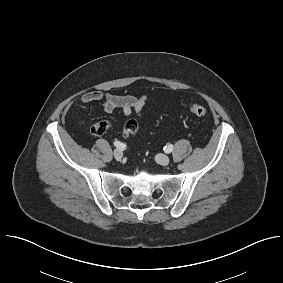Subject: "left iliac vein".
Listing matches in <instances>:
<instances>
[{
	"instance_id": "obj_1",
	"label": "left iliac vein",
	"mask_w": 283,
	"mask_h": 283,
	"mask_svg": "<svg viewBox=\"0 0 283 283\" xmlns=\"http://www.w3.org/2000/svg\"><path fill=\"white\" fill-rule=\"evenodd\" d=\"M156 161L158 164L166 166L169 164L170 158L166 154H160L156 156Z\"/></svg>"
}]
</instances>
